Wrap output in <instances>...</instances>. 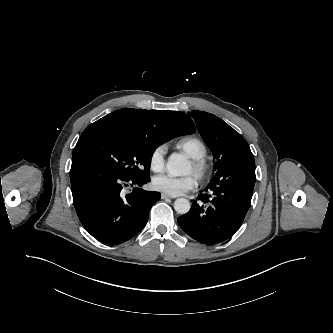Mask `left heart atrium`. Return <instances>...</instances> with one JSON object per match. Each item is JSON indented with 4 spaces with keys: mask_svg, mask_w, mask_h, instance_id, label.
Here are the masks:
<instances>
[{
    "mask_svg": "<svg viewBox=\"0 0 333 333\" xmlns=\"http://www.w3.org/2000/svg\"><path fill=\"white\" fill-rule=\"evenodd\" d=\"M152 186L156 191L175 197L194 189L196 186V179L192 174L182 177L163 174L153 178Z\"/></svg>",
    "mask_w": 333,
    "mask_h": 333,
    "instance_id": "left-heart-atrium-1",
    "label": "left heart atrium"
}]
</instances>
